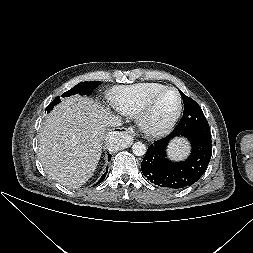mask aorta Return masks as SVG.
<instances>
[{
    "mask_svg": "<svg viewBox=\"0 0 253 253\" xmlns=\"http://www.w3.org/2000/svg\"><path fill=\"white\" fill-rule=\"evenodd\" d=\"M132 150L136 156H143V155H145V153L147 151V147L142 142H136L133 144Z\"/></svg>",
    "mask_w": 253,
    "mask_h": 253,
    "instance_id": "obj_1",
    "label": "aorta"
}]
</instances>
